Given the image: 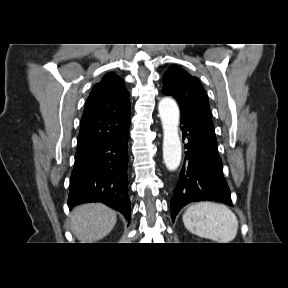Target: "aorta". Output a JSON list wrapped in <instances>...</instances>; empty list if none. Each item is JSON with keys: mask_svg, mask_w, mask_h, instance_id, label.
Masks as SVG:
<instances>
[{"mask_svg": "<svg viewBox=\"0 0 288 288\" xmlns=\"http://www.w3.org/2000/svg\"><path fill=\"white\" fill-rule=\"evenodd\" d=\"M163 128V159L168 170H176L181 162L182 147L178 134L179 109L177 103L165 97L158 104Z\"/></svg>", "mask_w": 288, "mask_h": 288, "instance_id": "aorta-1", "label": "aorta"}]
</instances>
